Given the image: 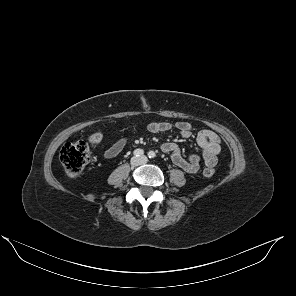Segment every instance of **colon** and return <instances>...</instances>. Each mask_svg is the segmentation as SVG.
<instances>
[{
  "label": "colon",
  "mask_w": 296,
  "mask_h": 296,
  "mask_svg": "<svg viewBox=\"0 0 296 296\" xmlns=\"http://www.w3.org/2000/svg\"><path fill=\"white\" fill-rule=\"evenodd\" d=\"M102 140L101 133L92 134L88 141L96 144ZM90 158V150L88 142L85 140H78L65 144L60 151V161L64 168L65 173L70 177H76L80 175ZM203 174L206 177H211L215 174L213 166H207L203 170Z\"/></svg>",
  "instance_id": "obj_1"
}]
</instances>
